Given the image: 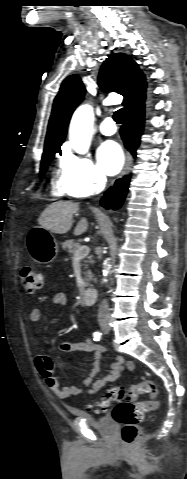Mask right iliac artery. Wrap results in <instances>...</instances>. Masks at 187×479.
Listing matches in <instances>:
<instances>
[{
  "mask_svg": "<svg viewBox=\"0 0 187 479\" xmlns=\"http://www.w3.org/2000/svg\"><path fill=\"white\" fill-rule=\"evenodd\" d=\"M102 338V333L97 331L93 333V340L94 341H99Z\"/></svg>",
  "mask_w": 187,
  "mask_h": 479,
  "instance_id": "obj_1",
  "label": "right iliac artery"
}]
</instances>
